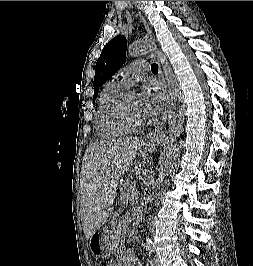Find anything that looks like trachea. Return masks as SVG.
I'll use <instances>...</instances> for the list:
<instances>
[{"mask_svg":"<svg viewBox=\"0 0 253 266\" xmlns=\"http://www.w3.org/2000/svg\"><path fill=\"white\" fill-rule=\"evenodd\" d=\"M151 71L153 72V73H158V66H157V64L156 63H153L152 65H151Z\"/></svg>","mask_w":253,"mask_h":266,"instance_id":"trachea-1","label":"trachea"}]
</instances>
